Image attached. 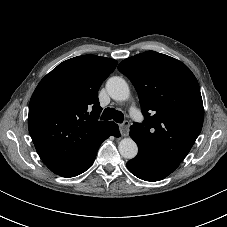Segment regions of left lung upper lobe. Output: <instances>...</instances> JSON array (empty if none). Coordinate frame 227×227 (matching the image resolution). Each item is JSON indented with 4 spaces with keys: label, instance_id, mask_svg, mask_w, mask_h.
Listing matches in <instances>:
<instances>
[{
    "label": "left lung upper lobe",
    "instance_id": "5c2ea615",
    "mask_svg": "<svg viewBox=\"0 0 227 227\" xmlns=\"http://www.w3.org/2000/svg\"><path fill=\"white\" fill-rule=\"evenodd\" d=\"M118 69L135 86L145 116L130 127L138 148L180 163L198 137L204 119L199 85L179 60L147 51L123 60Z\"/></svg>",
    "mask_w": 227,
    "mask_h": 227
}]
</instances>
